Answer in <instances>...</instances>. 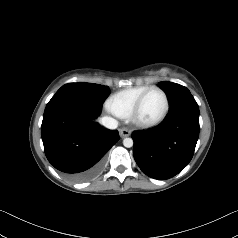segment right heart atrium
I'll return each mask as SVG.
<instances>
[{
	"label": "right heart atrium",
	"mask_w": 238,
	"mask_h": 238,
	"mask_svg": "<svg viewBox=\"0 0 238 238\" xmlns=\"http://www.w3.org/2000/svg\"><path fill=\"white\" fill-rule=\"evenodd\" d=\"M105 107H106V110H107L109 113L118 116L117 113L115 112V110L113 109V107L111 106V104H110V102H109V99L106 101Z\"/></svg>",
	"instance_id": "obj_1"
}]
</instances>
